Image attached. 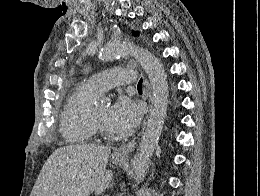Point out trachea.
Here are the masks:
<instances>
[{
    "instance_id": "obj_1",
    "label": "trachea",
    "mask_w": 260,
    "mask_h": 196,
    "mask_svg": "<svg viewBox=\"0 0 260 196\" xmlns=\"http://www.w3.org/2000/svg\"><path fill=\"white\" fill-rule=\"evenodd\" d=\"M142 86H143V80H142V78L139 80V82H138V85H137V88L138 89H142Z\"/></svg>"
}]
</instances>
